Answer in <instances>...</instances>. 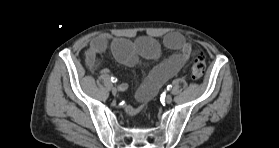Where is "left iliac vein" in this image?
<instances>
[{"label": "left iliac vein", "mask_w": 279, "mask_h": 148, "mask_svg": "<svg viewBox=\"0 0 279 148\" xmlns=\"http://www.w3.org/2000/svg\"><path fill=\"white\" fill-rule=\"evenodd\" d=\"M172 100H173V98H172L171 95H167V96L165 97V101H166V103H168V104L171 103Z\"/></svg>", "instance_id": "left-iliac-vein-1"}]
</instances>
